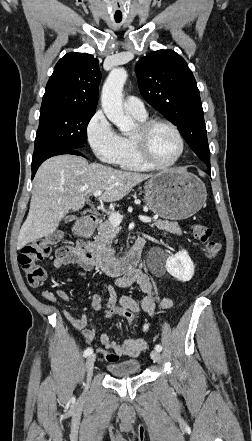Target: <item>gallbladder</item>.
Segmentation results:
<instances>
[{"label":"gallbladder","mask_w":252,"mask_h":441,"mask_svg":"<svg viewBox=\"0 0 252 441\" xmlns=\"http://www.w3.org/2000/svg\"><path fill=\"white\" fill-rule=\"evenodd\" d=\"M72 220V217L71 216H66L65 218H64V221L65 222H69V221H71Z\"/></svg>","instance_id":"bac80fb5"}]
</instances>
